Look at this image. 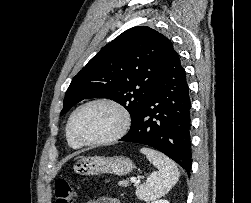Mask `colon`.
I'll use <instances>...</instances> for the list:
<instances>
[{
    "label": "colon",
    "mask_w": 251,
    "mask_h": 203,
    "mask_svg": "<svg viewBox=\"0 0 251 203\" xmlns=\"http://www.w3.org/2000/svg\"><path fill=\"white\" fill-rule=\"evenodd\" d=\"M74 190L66 180H58L55 184V203H74Z\"/></svg>",
    "instance_id": "5ec220e1"
}]
</instances>
